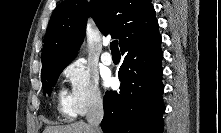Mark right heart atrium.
<instances>
[{
	"mask_svg": "<svg viewBox=\"0 0 221 133\" xmlns=\"http://www.w3.org/2000/svg\"><path fill=\"white\" fill-rule=\"evenodd\" d=\"M63 76L70 87L68 97L75 114L85 115L102 106L98 75L85 62H71L64 68Z\"/></svg>",
	"mask_w": 221,
	"mask_h": 133,
	"instance_id": "obj_1",
	"label": "right heart atrium"
}]
</instances>
